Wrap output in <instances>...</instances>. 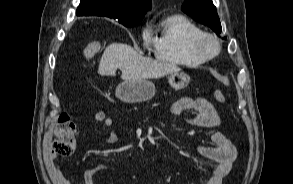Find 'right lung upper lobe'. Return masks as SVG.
Here are the masks:
<instances>
[{"label": "right lung upper lobe", "instance_id": "1", "mask_svg": "<svg viewBox=\"0 0 293 184\" xmlns=\"http://www.w3.org/2000/svg\"><path fill=\"white\" fill-rule=\"evenodd\" d=\"M150 9L151 0H81L76 14L108 17L123 23L141 21Z\"/></svg>", "mask_w": 293, "mask_h": 184}]
</instances>
